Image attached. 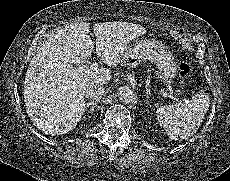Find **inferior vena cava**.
<instances>
[{"label": "inferior vena cava", "instance_id": "602c4592", "mask_svg": "<svg viewBox=\"0 0 230 181\" xmlns=\"http://www.w3.org/2000/svg\"><path fill=\"white\" fill-rule=\"evenodd\" d=\"M104 92L105 89L103 85H94L86 89L85 97L93 101H98L104 95Z\"/></svg>", "mask_w": 230, "mask_h": 181}]
</instances>
